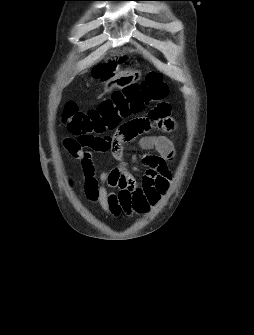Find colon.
Wrapping results in <instances>:
<instances>
[{
	"label": "colon",
	"mask_w": 254,
	"mask_h": 335,
	"mask_svg": "<svg viewBox=\"0 0 254 335\" xmlns=\"http://www.w3.org/2000/svg\"><path fill=\"white\" fill-rule=\"evenodd\" d=\"M168 85L161 73L152 71L141 82H136L102 101L96 109L83 112L69 102L63 111V122L86 148L105 152L111 140L105 134L117 129V124L138 114L151 104H165L161 100L168 94ZM155 121V120H154Z\"/></svg>",
	"instance_id": "colon-1"
}]
</instances>
